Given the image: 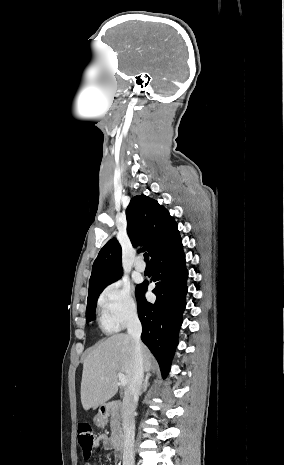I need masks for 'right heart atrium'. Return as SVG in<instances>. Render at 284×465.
Segmentation results:
<instances>
[{
	"mask_svg": "<svg viewBox=\"0 0 284 465\" xmlns=\"http://www.w3.org/2000/svg\"><path fill=\"white\" fill-rule=\"evenodd\" d=\"M97 305L99 311L116 328H120V324L132 323L139 316L130 287L120 281L113 282L102 290Z\"/></svg>",
	"mask_w": 284,
	"mask_h": 465,
	"instance_id": "1",
	"label": "right heart atrium"
}]
</instances>
